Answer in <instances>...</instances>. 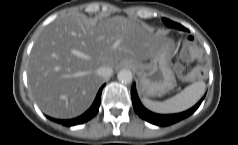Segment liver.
Segmentation results:
<instances>
[{
  "mask_svg": "<svg viewBox=\"0 0 238 145\" xmlns=\"http://www.w3.org/2000/svg\"><path fill=\"white\" fill-rule=\"evenodd\" d=\"M166 39L123 16L88 18L81 13L57 18L34 43L28 84L47 115L68 119L85 112L103 79L99 67L117 68L130 59L148 60Z\"/></svg>",
  "mask_w": 238,
  "mask_h": 145,
  "instance_id": "liver-1",
  "label": "liver"
}]
</instances>
